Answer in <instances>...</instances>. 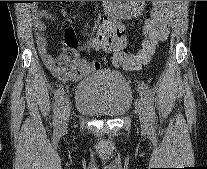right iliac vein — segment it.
Instances as JSON below:
<instances>
[{
  "mask_svg": "<svg viewBox=\"0 0 207 169\" xmlns=\"http://www.w3.org/2000/svg\"><path fill=\"white\" fill-rule=\"evenodd\" d=\"M69 116H70V108H69V103L66 100L65 106L63 107V111H62L61 120H60L61 129L66 128L68 124Z\"/></svg>",
  "mask_w": 207,
  "mask_h": 169,
  "instance_id": "63e3f726",
  "label": "right iliac vein"
}]
</instances>
